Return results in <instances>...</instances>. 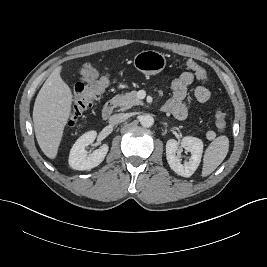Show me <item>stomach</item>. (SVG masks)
<instances>
[{
  "instance_id": "obj_1",
  "label": "stomach",
  "mask_w": 267,
  "mask_h": 267,
  "mask_svg": "<svg viewBox=\"0 0 267 267\" xmlns=\"http://www.w3.org/2000/svg\"><path fill=\"white\" fill-rule=\"evenodd\" d=\"M164 54L155 50H145L137 53L133 59L134 67L145 75H156L166 66Z\"/></svg>"
}]
</instances>
